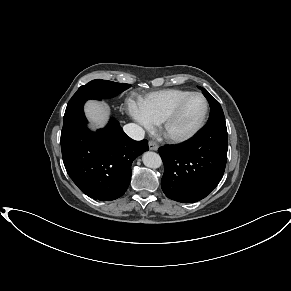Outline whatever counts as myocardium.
<instances>
[{
  "label": "myocardium",
  "instance_id": "1",
  "mask_svg": "<svg viewBox=\"0 0 291 291\" xmlns=\"http://www.w3.org/2000/svg\"><path fill=\"white\" fill-rule=\"evenodd\" d=\"M200 97L204 102V111L203 114L197 123V125L192 128L190 131L182 134H174L171 132V127L176 119L179 117L181 111L183 110L184 106L192 97ZM209 113V103L206 97L199 93V92H191L186 97H184L175 107L174 109L165 117V119L161 122V135L164 139L171 143H184L192 138H194L205 126Z\"/></svg>",
  "mask_w": 291,
  "mask_h": 291
}]
</instances>
